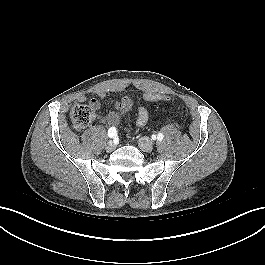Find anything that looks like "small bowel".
<instances>
[{
  "label": "small bowel",
  "mask_w": 265,
  "mask_h": 265,
  "mask_svg": "<svg viewBox=\"0 0 265 265\" xmlns=\"http://www.w3.org/2000/svg\"><path fill=\"white\" fill-rule=\"evenodd\" d=\"M147 94V93H146ZM145 94V95H146ZM144 95V100H145ZM160 96H164L159 94ZM99 96H102V94H99ZM165 97V96H164ZM78 100L81 102H84L87 100L86 96L81 95L78 97ZM162 101V100H159ZM90 102L95 106H99V102L97 99H91ZM120 107L117 111H112L107 113L106 115H103L100 117V120L103 124L107 126H112L118 124L120 121V118L122 115L126 114L133 106V99L130 96H124L119 103ZM149 120V112L146 107L140 106L137 109V118H136V124L137 126H144L147 124Z\"/></svg>",
  "instance_id": "1"
}]
</instances>
